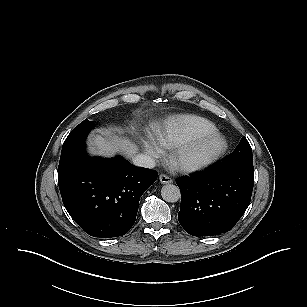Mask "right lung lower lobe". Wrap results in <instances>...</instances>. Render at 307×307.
I'll use <instances>...</instances> for the list:
<instances>
[{
  "label": "right lung lower lobe",
  "instance_id": "98d812e1",
  "mask_svg": "<svg viewBox=\"0 0 307 307\" xmlns=\"http://www.w3.org/2000/svg\"><path fill=\"white\" fill-rule=\"evenodd\" d=\"M158 173L136 167L120 156L89 157L85 139L62 149L58 184L64 206L93 237H117L134 225L142 194Z\"/></svg>",
  "mask_w": 307,
  "mask_h": 307
}]
</instances>
